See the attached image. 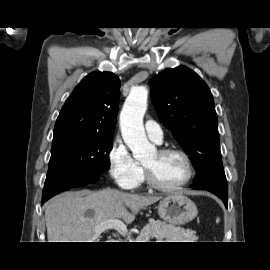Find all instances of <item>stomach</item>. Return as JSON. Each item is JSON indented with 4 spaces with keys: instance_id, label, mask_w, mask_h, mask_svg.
Wrapping results in <instances>:
<instances>
[{
    "instance_id": "obj_1",
    "label": "stomach",
    "mask_w": 270,
    "mask_h": 270,
    "mask_svg": "<svg viewBox=\"0 0 270 270\" xmlns=\"http://www.w3.org/2000/svg\"><path fill=\"white\" fill-rule=\"evenodd\" d=\"M158 213L164 221L171 225H185L197 216L198 210L188 197L174 193L159 202Z\"/></svg>"
}]
</instances>
